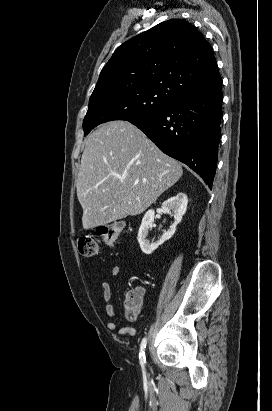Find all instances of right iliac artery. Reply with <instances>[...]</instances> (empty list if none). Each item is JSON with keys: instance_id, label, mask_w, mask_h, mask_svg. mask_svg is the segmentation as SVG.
Instances as JSON below:
<instances>
[{"instance_id": "right-iliac-artery-1", "label": "right iliac artery", "mask_w": 272, "mask_h": 411, "mask_svg": "<svg viewBox=\"0 0 272 411\" xmlns=\"http://www.w3.org/2000/svg\"><path fill=\"white\" fill-rule=\"evenodd\" d=\"M147 344V338H143L141 345H140V352H139V361L142 369L145 368L146 357H145V348Z\"/></svg>"}]
</instances>
